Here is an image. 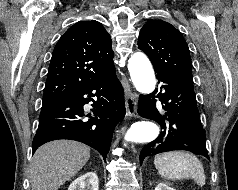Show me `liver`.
I'll return each instance as SVG.
<instances>
[{"label": "liver", "instance_id": "liver-1", "mask_svg": "<svg viewBox=\"0 0 238 190\" xmlns=\"http://www.w3.org/2000/svg\"><path fill=\"white\" fill-rule=\"evenodd\" d=\"M90 158V148L72 140H56L39 147L30 167L32 190H58Z\"/></svg>", "mask_w": 238, "mask_h": 190}]
</instances>
